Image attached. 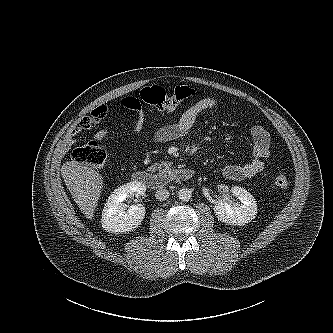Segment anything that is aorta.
<instances>
[{"instance_id": "aorta-1", "label": "aorta", "mask_w": 333, "mask_h": 333, "mask_svg": "<svg viewBox=\"0 0 333 333\" xmlns=\"http://www.w3.org/2000/svg\"><path fill=\"white\" fill-rule=\"evenodd\" d=\"M192 192L190 189L182 188L178 191V198L181 201H189L191 199Z\"/></svg>"}]
</instances>
